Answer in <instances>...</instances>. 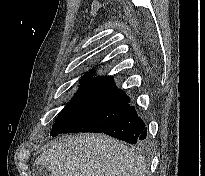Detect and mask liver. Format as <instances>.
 <instances>
[{"label": "liver", "instance_id": "6515ba94", "mask_svg": "<svg viewBox=\"0 0 205 176\" xmlns=\"http://www.w3.org/2000/svg\"><path fill=\"white\" fill-rule=\"evenodd\" d=\"M34 165H42L49 176H145L142 157L123 143L104 134L60 137L44 150Z\"/></svg>", "mask_w": 205, "mask_h": 176}]
</instances>
